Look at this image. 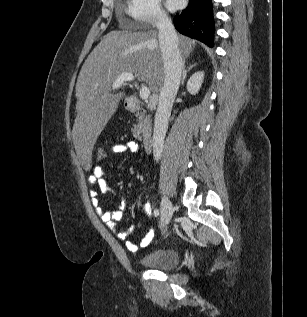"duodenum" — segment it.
Here are the masks:
<instances>
[{
    "label": "duodenum",
    "instance_id": "410a0bca",
    "mask_svg": "<svg viewBox=\"0 0 307 317\" xmlns=\"http://www.w3.org/2000/svg\"><path fill=\"white\" fill-rule=\"evenodd\" d=\"M127 106L130 112L139 113L142 111V105L137 98L131 97L127 100ZM142 144L145 151H150L153 144V133L149 127L142 129Z\"/></svg>",
    "mask_w": 307,
    "mask_h": 317
}]
</instances>
